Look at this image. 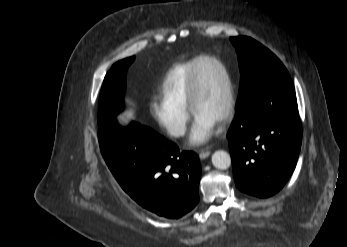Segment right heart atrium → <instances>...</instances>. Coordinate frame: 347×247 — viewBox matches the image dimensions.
Masks as SVG:
<instances>
[{
    "instance_id": "obj_1",
    "label": "right heart atrium",
    "mask_w": 347,
    "mask_h": 247,
    "mask_svg": "<svg viewBox=\"0 0 347 247\" xmlns=\"http://www.w3.org/2000/svg\"><path fill=\"white\" fill-rule=\"evenodd\" d=\"M159 125L172 137H182L187 130L190 114L187 107L174 105L161 99L152 104Z\"/></svg>"
}]
</instances>
